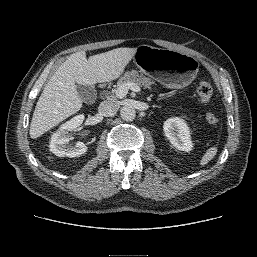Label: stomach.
I'll use <instances>...</instances> for the list:
<instances>
[{
  "label": "stomach",
  "mask_w": 257,
  "mask_h": 257,
  "mask_svg": "<svg viewBox=\"0 0 257 257\" xmlns=\"http://www.w3.org/2000/svg\"><path fill=\"white\" fill-rule=\"evenodd\" d=\"M133 62L141 72L171 88L188 86L199 71L195 57L149 45L136 48Z\"/></svg>",
  "instance_id": "stomach-1"
}]
</instances>
